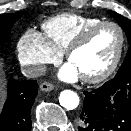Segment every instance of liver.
Returning <instances> with one entry per match:
<instances>
[{"label":"liver","mask_w":131,"mask_h":131,"mask_svg":"<svg viewBox=\"0 0 131 131\" xmlns=\"http://www.w3.org/2000/svg\"><path fill=\"white\" fill-rule=\"evenodd\" d=\"M2 71H1V64H0V105L4 97V85H3V78L1 77Z\"/></svg>","instance_id":"liver-1"}]
</instances>
